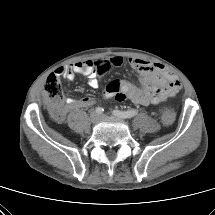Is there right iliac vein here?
Returning <instances> with one entry per match:
<instances>
[{"instance_id":"63e3f726","label":"right iliac vein","mask_w":215,"mask_h":215,"mask_svg":"<svg viewBox=\"0 0 215 215\" xmlns=\"http://www.w3.org/2000/svg\"><path fill=\"white\" fill-rule=\"evenodd\" d=\"M90 118L93 123H97L100 120V116L96 112H92Z\"/></svg>"}]
</instances>
